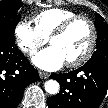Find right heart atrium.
I'll list each match as a JSON object with an SVG mask.
<instances>
[{
  "instance_id": "1",
  "label": "right heart atrium",
  "mask_w": 108,
  "mask_h": 108,
  "mask_svg": "<svg viewBox=\"0 0 108 108\" xmlns=\"http://www.w3.org/2000/svg\"><path fill=\"white\" fill-rule=\"evenodd\" d=\"M15 42L19 49L27 55H33L47 42V38L27 20H20L14 29Z\"/></svg>"
}]
</instances>
